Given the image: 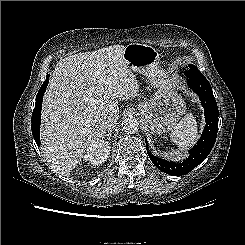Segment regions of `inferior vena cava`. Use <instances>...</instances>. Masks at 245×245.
I'll list each match as a JSON object with an SVG mask.
<instances>
[{"label":"inferior vena cava","instance_id":"1","mask_svg":"<svg viewBox=\"0 0 245 245\" xmlns=\"http://www.w3.org/2000/svg\"><path fill=\"white\" fill-rule=\"evenodd\" d=\"M117 119L112 116H105L102 125L106 130H112L116 126Z\"/></svg>","mask_w":245,"mask_h":245}]
</instances>
